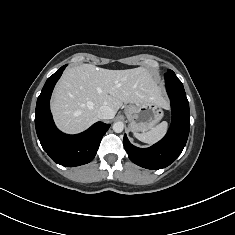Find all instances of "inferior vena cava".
<instances>
[{
  "mask_svg": "<svg viewBox=\"0 0 235 235\" xmlns=\"http://www.w3.org/2000/svg\"><path fill=\"white\" fill-rule=\"evenodd\" d=\"M115 116L114 110L107 105H103L98 110L99 119H112Z\"/></svg>",
  "mask_w": 235,
  "mask_h": 235,
  "instance_id": "inferior-vena-cava-1",
  "label": "inferior vena cava"
}]
</instances>
